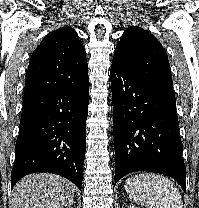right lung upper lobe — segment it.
I'll return each mask as SVG.
<instances>
[{
	"instance_id": "right-lung-upper-lobe-1",
	"label": "right lung upper lobe",
	"mask_w": 199,
	"mask_h": 208,
	"mask_svg": "<svg viewBox=\"0 0 199 208\" xmlns=\"http://www.w3.org/2000/svg\"><path fill=\"white\" fill-rule=\"evenodd\" d=\"M88 78L85 49L75 30L48 34L33 52L25 79L24 98L77 85Z\"/></svg>"
}]
</instances>
